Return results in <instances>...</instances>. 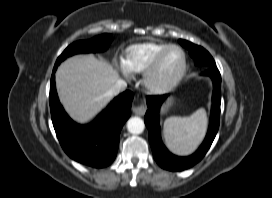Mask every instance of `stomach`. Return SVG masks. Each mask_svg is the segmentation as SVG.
I'll use <instances>...</instances> for the list:
<instances>
[{
    "label": "stomach",
    "mask_w": 272,
    "mask_h": 198,
    "mask_svg": "<svg viewBox=\"0 0 272 198\" xmlns=\"http://www.w3.org/2000/svg\"><path fill=\"white\" fill-rule=\"evenodd\" d=\"M175 98H171L161 109L163 115H166L174 106Z\"/></svg>",
    "instance_id": "0dacf381"
}]
</instances>
